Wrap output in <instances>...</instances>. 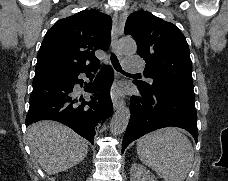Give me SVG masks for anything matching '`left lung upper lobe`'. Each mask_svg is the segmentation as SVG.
I'll use <instances>...</instances> for the list:
<instances>
[{
    "label": "left lung upper lobe",
    "mask_w": 228,
    "mask_h": 181,
    "mask_svg": "<svg viewBox=\"0 0 228 181\" xmlns=\"http://www.w3.org/2000/svg\"><path fill=\"white\" fill-rule=\"evenodd\" d=\"M124 32L135 39L137 54L146 61L145 77L193 91L189 46L177 26L141 10L127 18Z\"/></svg>",
    "instance_id": "left-lung-upper-lobe-1"
}]
</instances>
